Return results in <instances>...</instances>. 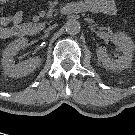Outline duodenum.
<instances>
[{"label": "duodenum", "instance_id": "1", "mask_svg": "<svg viewBox=\"0 0 135 135\" xmlns=\"http://www.w3.org/2000/svg\"><path fill=\"white\" fill-rule=\"evenodd\" d=\"M22 32L25 33V34H28L30 32V29L29 28H23Z\"/></svg>", "mask_w": 135, "mask_h": 135}]
</instances>
